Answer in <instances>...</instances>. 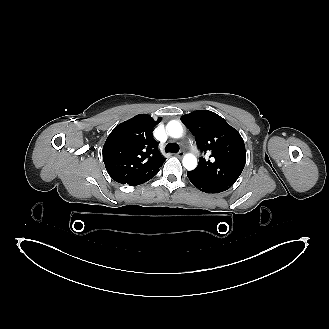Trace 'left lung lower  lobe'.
Wrapping results in <instances>:
<instances>
[{"label": "left lung lower lobe", "mask_w": 329, "mask_h": 329, "mask_svg": "<svg viewBox=\"0 0 329 329\" xmlns=\"http://www.w3.org/2000/svg\"><path fill=\"white\" fill-rule=\"evenodd\" d=\"M187 176H188L189 180L191 181V183L194 186H196L202 192H205V193H220V192L224 191L219 187L213 186V185L199 179L193 173H191V171L187 172Z\"/></svg>", "instance_id": "1"}]
</instances>
